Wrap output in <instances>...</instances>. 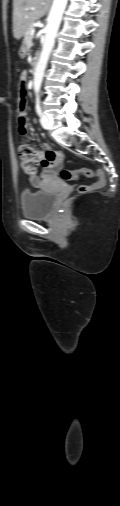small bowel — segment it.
<instances>
[{"label": "small bowel", "mask_w": 120, "mask_h": 506, "mask_svg": "<svg viewBox=\"0 0 120 506\" xmlns=\"http://www.w3.org/2000/svg\"><path fill=\"white\" fill-rule=\"evenodd\" d=\"M46 151L40 152L39 164L43 168L41 176L39 178H33L31 181L34 185L39 186L43 182L53 179L57 175V170L62 161L64 160V153L61 151L53 152L50 148L45 145ZM52 155L53 159H49Z\"/></svg>", "instance_id": "c3829d8e"}]
</instances>
